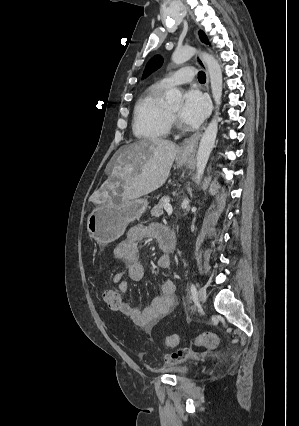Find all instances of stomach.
Here are the masks:
<instances>
[{
    "mask_svg": "<svg viewBox=\"0 0 299 426\" xmlns=\"http://www.w3.org/2000/svg\"><path fill=\"white\" fill-rule=\"evenodd\" d=\"M190 156L179 154V166L188 163ZM148 207L144 198L122 200L119 203L107 202L96 207L87 218L89 236L99 244L105 245L117 240L129 223L139 219Z\"/></svg>",
    "mask_w": 299,
    "mask_h": 426,
    "instance_id": "obj_1",
    "label": "stomach"
}]
</instances>
